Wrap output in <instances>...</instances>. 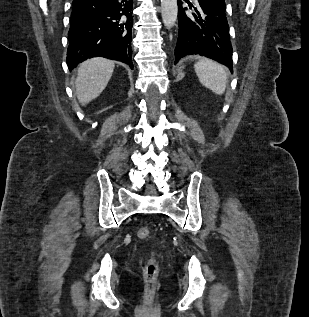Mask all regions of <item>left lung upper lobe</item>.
I'll return each instance as SVG.
<instances>
[{
    "mask_svg": "<svg viewBox=\"0 0 309 317\" xmlns=\"http://www.w3.org/2000/svg\"><path fill=\"white\" fill-rule=\"evenodd\" d=\"M207 1H212V2H215V3H219V4H225L224 0H207Z\"/></svg>",
    "mask_w": 309,
    "mask_h": 317,
    "instance_id": "5c2ea615",
    "label": "left lung upper lobe"
}]
</instances>
